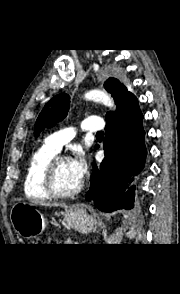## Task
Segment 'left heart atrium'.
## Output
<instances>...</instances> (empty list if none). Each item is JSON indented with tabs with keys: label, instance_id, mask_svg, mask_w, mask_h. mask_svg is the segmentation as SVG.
Here are the masks:
<instances>
[{
	"label": "left heart atrium",
	"instance_id": "1",
	"mask_svg": "<svg viewBox=\"0 0 180 294\" xmlns=\"http://www.w3.org/2000/svg\"><path fill=\"white\" fill-rule=\"evenodd\" d=\"M71 170L75 178L81 182L87 174L88 166L83 152L78 151L69 161Z\"/></svg>",
	"mask_w": 180,
	"mask_h": 294
}]
</instances>
